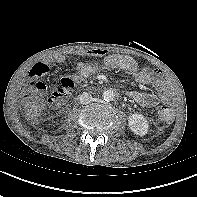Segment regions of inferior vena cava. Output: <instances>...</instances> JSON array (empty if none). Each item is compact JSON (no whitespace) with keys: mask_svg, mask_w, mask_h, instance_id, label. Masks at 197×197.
Instances as JSON below:
<instances>
[{"mask_svg":"<svg viewBox=\"0 0 197 197\" xmlns=\"http://www.w3.org/2000/svg\"><path fill=\"white\" fill-rule=\"evenodd\" d=\"M79 99L81 104H85V105L89 104L93 100L92 96L87 92L82 93Z\"/></svg>","mask_w":197,"mask_h":197,"instance_id":"1","label":"inferior vena cava"}]
</instances>
